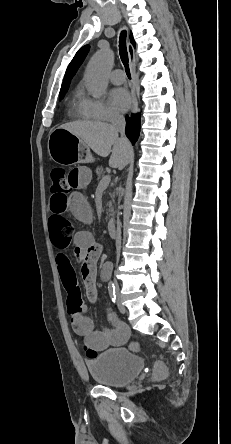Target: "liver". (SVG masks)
I'll return each mask as SVG.
<instances>
[{
	"instance_id": "6515ba94",
	"label": "liver",
	"mask_w": 231,
	"mask_h": 444,
	"mask_svg": "<svg viewBox=\"0 0 231 444\" xmlns=\"http://www.w3.org/2000/svg\"><path fill=\"white\" fill-rule=\"evenodd\" d=\"M60 128L80 138L99 156L107 157L111 153L109 165L112 168L122 169L129 159L130 143L128 140L119 138L118 132L108 123L76 121L63 124Z\"/></svg>"
}]
</instances>
